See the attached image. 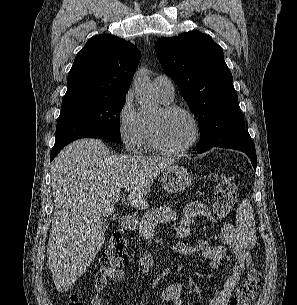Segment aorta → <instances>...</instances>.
Wrapping results in <instances>:
<instances>
[{"mask_svg": "<svg viewBox=\"0 0 297 305\" xmlns=\"http://www.w3.org/2000/svg\"><path fill=\"white\" fill-rule=\"evenodd\" d=\"M133 86L136 99L142 110H154L156 102L153 96L150 79L145 68L139 69L134 76Z\"/></svg>", "mask_w": 297, "mask_h": 305, "instance_id": "aorta-1", "label": "aorta"}]
</instances>
